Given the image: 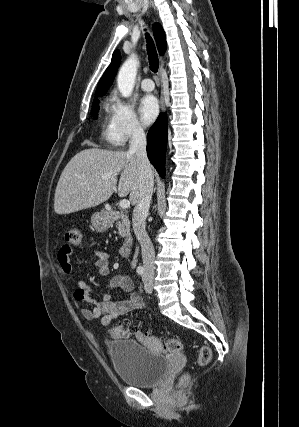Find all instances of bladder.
<instances>
[{
    "label": "bladder",
    "mask_w": 299,
    "mask_h": 427,
    "mask_svg": "<svg viewBox=\"0 0 299 427\" xmlns=\"http://www.w3.org/2000/svg\"><path fill=\"white\" fill-rule=\"evenodd\" d=\"M109 356L117 376L134 387L155 386L169 368L165 355L153 353L133 339L111 342Z\"/></svg>",
    "instance_id": "1"
}]
</instances>
